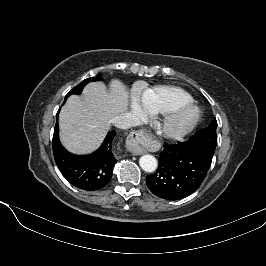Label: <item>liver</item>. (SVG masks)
Segmentation results:
<instances>
[{
  "mask_svg": "<svg viewBox=\"0 0 266 266\" xmlns=\"http://www.w3.org/2000/svg\"><path fill=\"white\" fill-rule=\"evenodd\" d=\"M129 92L118 79L110 82L109 90L102 82L89 83L82 98L71 96L59 114L60 139L76 154H86L99 147L111 119L128 109Z\"/></svg>",
  "mask_w": 266,
  "mask_h": 266,
  "instance_id": "6515ba94",
  "label": "liver"
}]
</instances>
